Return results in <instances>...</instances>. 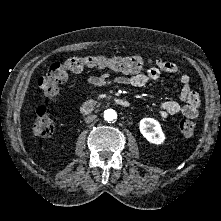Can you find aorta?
<instances>
[{
  "mask_svg": "<svg viewBox=\"0 0 221 221\" xmlns=\"http://www.w3.org/2000/svg\"><path fill=\"white\" fill-rule=\"evenodd\" d=\"M117 118V113L113 109H107L104 111V119L106 121H113Z\"/></svg>",
  "mask_w": 221,
  "mask_h": 221,
  "instance_id": "obj_1",
  "label": "aorta"
}]
</instances>
